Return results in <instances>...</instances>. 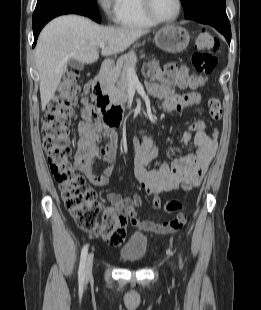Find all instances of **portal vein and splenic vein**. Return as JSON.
Masks as SVG:
<instances>
[{
	"instance_id": "18ae733b",
	"label": "portal vein and splenic vein",
	"mask_w": 261,
	"mask_h": 310,
	"mask_svg": "<svg viewBox=\"0 0 261 310\" xmlns=\"http://www.w3.org/2000/svg\"><path fill=\"white\" fill-rule=\"evenodd\" d=\"M99 47L101 49H104L105 48V43H100ZM127 71H128V74H129L130 77H136L135 68H128Z\"/></svg>"
}]
</instances>
